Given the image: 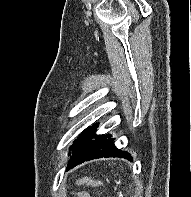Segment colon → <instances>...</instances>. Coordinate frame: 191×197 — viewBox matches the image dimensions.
<instances>
[{
  "label": "colon",
  "instance_id": "5ec220e1",
  "mask_svg": "<svg viewBox=\"0 0 191 197\" xmlns=\"http://www.w3.org/2000/svg\"><path fill=\"white\" fill-rule=\"evenodd\" d=\"M79 181L87 184H96L98 182L91 177H83Z\"/></svg>",
  "mask_w": 191,
  "mask_h": 197
}]
</instances>
